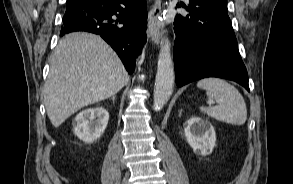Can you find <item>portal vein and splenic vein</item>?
Instances as JSON below:
<instances>
[{
    "label": "portal vein and splenic vein",
    "instance_id": "1",
    "mask_svg": "<svg viewBox=\"0 0 293 184\" xmlns=\"http://www.w3.org/2000/svg\"><path fill=\"white\" fill-rule=\"evenodd\" d=\"M215 102L214 101H209V104H214Z\"/></svg>",
    "mask_w": 293,
    "mask_h": 184
}]
</instances>
